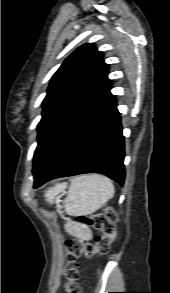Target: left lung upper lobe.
Listing matches in <instances>:
<instances>
[{
	"label": "left lung upper lobe",
	"instance_id": "5c2ea615",
	"mask_svg": "<svg viewBox=\"0 0 170 293\" xmlns=\"http://www.w3.org/2000/svg\"><path fill=\"white\" fill-rule=\"evenodd\" d=\"M93 44L76 49L50 81L38 124L33 175H41L111 95L108 65Z\"/></svg>",
	"mask_w": 170,
	"mask_h": 293
}]
</instances>
